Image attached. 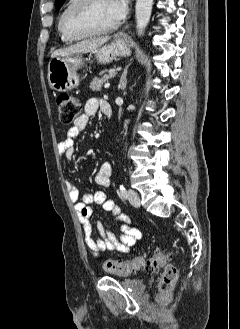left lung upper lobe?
<instances>
[{"label": "left lung upper lobe", "instance_id": "left-lung-upper-lobe-1", "mask_svg": "<svg viewBox=\"0 0 240 329\" xmlns=\"http://www.w3.org/2000/svg\"><path fill=\"white\" fill-rule=\"evenodd\" d=\"M64 1L65 0H55L56 9H59L63 5Z\"/></svg>", "mask_w": 240, "mask_h": 329}]
</instances>
